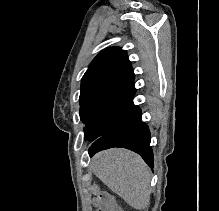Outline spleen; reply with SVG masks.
Listing matches in <instances>:
<instances>
[{
	"mask_svg": "<svg viewBox=\"0 0 219 211\" xmlns=\"http://www.w3.org/2000/svg\"><path fill=\"white\" fill-rule=\"evenodd\" d=\"M90 167L101 181L134 209H145L150 201V167L130 149H105L95 153Z\"/></svg>",
	"mask_w": 219,
	"mask_h": 211,
	"instance_id": "spleen-1",
	"label": "spleen"
}]
</instances>
